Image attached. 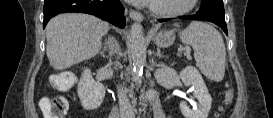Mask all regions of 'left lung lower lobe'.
I'll use <instances>...</instances> for the list:
<instances>
[{"label":"left lung lower lobe","mask_w":273,"mask_h":118,"mask_svg":"<svg viewBox=\"0 0 273 118\" xmlns=\"http://www.w3.org/2000/svg\"><path fill=\"white\" fill-rule=\"evenodd\" d=\"M182 19H190V20H203V21H210L212 23H215L216 25H218L219 27L222 28V30L227 33V26L225 23V19L214 16V15H207V14H202V13H197L195 15H191V16H182L180 17ZM170 19H159V22H165L168 21Z\"/></svg>","instance_id":"0a47b994"}]
</instances>
